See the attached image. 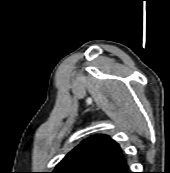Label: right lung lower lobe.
Segmentation results:
<instances>
[{"label":"right lung lower lobe","mask_w":170,"mask_h":173,"mask_svg":"<svg viewBox=\"0 0 170 173\" xmlns=\"http://www.w3.org/2000/svg\"><path fill=\"white\" fill-rule=\"evenodd\" d=\"M105 173H132V172L129 171L127 162H124L120 165H117V166L107 170Z\"/></svg>","instance_id":"obj_1"}]
</instances>
